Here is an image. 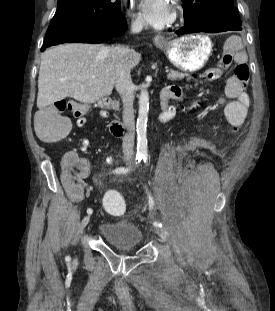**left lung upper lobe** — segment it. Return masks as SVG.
I'll use <instances>...</instances> for the list:
<instances>
[{"label":"left lung upper lobe","instance_id":"left-lung-upper-lobe-1","mask_svg":"<svg viewBox=\"0 0 275 311\" xmlns=\"http://www.w3.org/2000/svg\"><path fill=\"white\" fill-rule=\"evenodd\" d=\"M185 23L208 16H225L231 22L242 24L233 0H181Z\"/></svg>","mask_w":275,"mask_h":311}]
</instances>
